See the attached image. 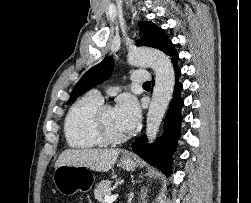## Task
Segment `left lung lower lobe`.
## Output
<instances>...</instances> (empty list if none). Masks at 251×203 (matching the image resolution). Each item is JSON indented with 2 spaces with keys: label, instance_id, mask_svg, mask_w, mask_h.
<instances>
[{
  "label": "left lung lower lobe",
  "instance_id": "obj_1",
  "mask_svg": "<svg viewBox=\"0 0 251 203\" xmlns=\"http://www.w3.org/2000/svg\"><path fill=\"white\" fill-rule=\"evenodd\" d=\"M164 53L171 57L176 79L173 99L165 119L164 135L161 141L151 145L147 143L146 136L143 135L132 145V150L150 164H156L164 174L169 175L171 156L180 136L181 108L183 106L181 91L183 86L179 82V76L181 75V70L177 65L179 56L172 42L166 47Z\"/></svg>",
  "mask_w": 251,
  "mask_h": 203
}]
</instances>
